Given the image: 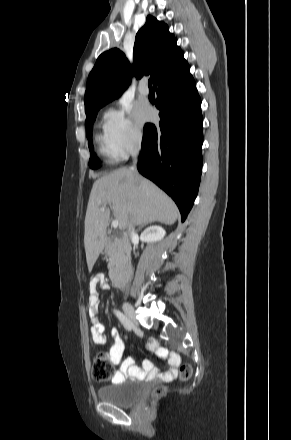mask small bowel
<instances>
[{"label": "small bowel", "mask_w": 291, "mask_h": 440, "mask_svg": "<svg viewBox=\"0 0 291 440\" xmlns=\"http://www.w3.org/2000/svg\"><path fill=\"white\" fill-rule=\"evenodd\" d=\"M98 286L102 289L108 287L103 275H96L90 280L88 299L89 316L91 318V337L96 345H103L106 342V338L104 334V326L98 318V308L100 303ZM111 337L113 339V345L106 353V356L111 364L118 365L124 354V342L116 329L111 331ZM147 349L158 353L159 356L167 362L168 369L165 372H161L160 369H158L150 360H145L143 362V369H140L131 357H127L123 360L120 369L113 372L112 382L116 383L122 381L126 377L132 379H152L156 377L169 379L178 373L181 364V358L178 354L174 352L170 353L166 349L160 348L156 340L150 341L147 344Z\"/></svg>", "instance_id": "small-bowel-1"}]
</instances>
